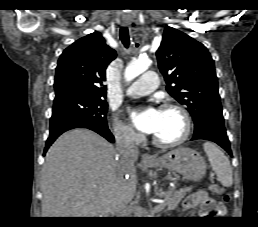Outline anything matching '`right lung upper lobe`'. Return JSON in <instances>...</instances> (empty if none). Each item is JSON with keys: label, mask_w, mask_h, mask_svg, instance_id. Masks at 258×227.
<instances>
[{"label": "right lung upper lobe", "mask_w": 258, "mask_h": 227, "mask_svg": "<svg viewBox=\"0 0 258 227\" xmlns=\"http://www.w3.org/2000/svg\"><path fill=\"white\" fill-rule=\"evenodd\" d=\"M116 58L99 32L80 38L61 54L55 74V93L80 92L106 97L105 71Z\"/></svg>", "instance_id": "obj_1"}]
</instances>
